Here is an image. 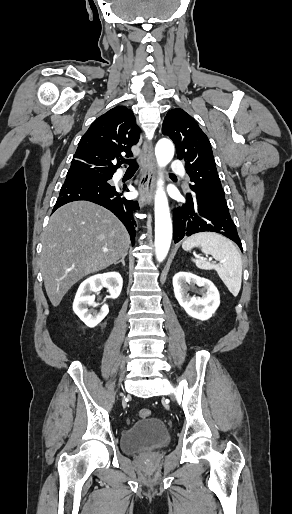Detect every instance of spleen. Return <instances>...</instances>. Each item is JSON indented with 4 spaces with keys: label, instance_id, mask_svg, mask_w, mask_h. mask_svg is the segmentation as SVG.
Wrapping results in <instances>:
<instances>
[{
    "label": "spleen",
    "instance_id": "3e777b00",
    "mask_svg": "<svg viewBox=\"0 0 292 514\" xmlns=\"http://www.w3.org/2000/svg\"><path fill=\"white\" fill-rule=\"evenodd\" d=\"M182 248L185 252H190L192 248H200L203 254H208L220 262V264H211L207 260L192 258V262L200 270H216L229 292L233 296H238L242 282V258L230 240L214 232H200L187 238Z\"/></svg>",
    "mask_w": 292,
    "mask_h": 514
}]
</instances>
